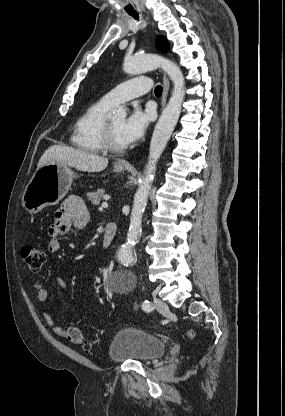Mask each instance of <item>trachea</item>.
<instances>
[{
  "mask_svg": "<svg viewBox=\"0 0 285 416\" xmlns=\"http://www.w3.org/2000/svg\"><path fill=\"white\" fill-rule=\"evenodd\" d=\"M133 18H135V20H138L139 19V15H138V13H132V14H130ZM162 91H163V88H162V86L161 85H157V87L155 88V90H154V92H155V95L157 96V97H160L161 95H162Z\"/></svg>",
  "mask_w": 285,
  "mask_h": 416,
  "instance_id": "1",
  "label": "trachea"
}]
</instances>
